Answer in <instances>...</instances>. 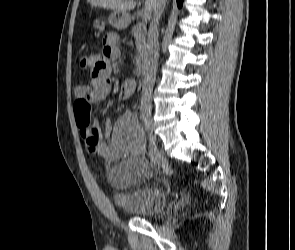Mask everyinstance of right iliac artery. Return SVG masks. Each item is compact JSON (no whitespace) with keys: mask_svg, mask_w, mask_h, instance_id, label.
<instances>
[{"mask_svg":"<svg viewBox=\"0 0 295 250\" xmlns=\"http://www.w3.org/2000/svg\"><path fill=\"white\" fill-rule=\"evenodd\" d=\"M148 151H149V155H150V158H151V163L155 164V161H156V156L154 154L155 148L154 147H149Z\"/></svg>","mask_w":295,"mask_h":250,"instance_id":"1","label":"right iliac artery"}]
</instances>
